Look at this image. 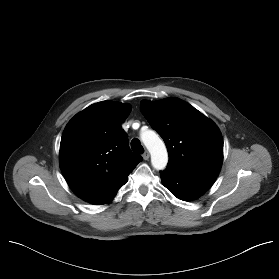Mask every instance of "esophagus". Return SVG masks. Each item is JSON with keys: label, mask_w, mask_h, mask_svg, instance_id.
<instances>
[{"label": "esophagus", "mask_w": 279, "mask_h": 279, "mask_svg": "<svg viewBox=\"0 0 279 279\" xmlns=\"http://www.w3.org/2000/svg\"><path fill=\"white\" fill-rule=\"evenodd\" d=\"M149 157H150L149 152H148V151H145V153L143 154V159H144V160H148Z\"/></svg>", "instance_id": "1"}]
</instances>
